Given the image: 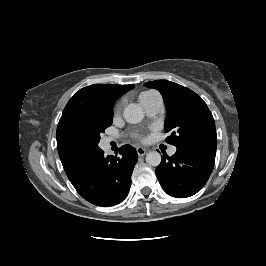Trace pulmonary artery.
Instances as JSON below:
<instances>
[{"mask_svg":"<svg viewBox=\"0 0 266 266\" xmlns=\"http://www.w3.org/2000/svg\"><path fill=\"white\" fill-rule=\"evenodd\" d=\"M140 103L149 117H155L163 108L162 96L157 92L143 95L140 98ZM110 140L111 138H109L107 141L109 142ZM175 152V146H171L168 150L169 155H173Z\"/></svg>","mask_w":266,"mask_h":266,"instance_id":"pulmonary-artery-1","label":"pulmonary artery"}]
</instances>
